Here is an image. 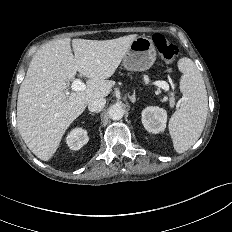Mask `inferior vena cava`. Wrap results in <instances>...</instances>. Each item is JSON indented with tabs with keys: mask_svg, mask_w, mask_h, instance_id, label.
<instances>
[{
	"mask_svg": "<svg viewBox=\"0 0 232 232\" xmlns=\"http://www.w3.org/2000/svg\"><path fill=\"white\" fill-rule=\"evenodd\" d=\"M105 104V98L97 97L90 100V102L88 103V109L91 112H100L104 108Z\"/></svg>",
	"mask_w": 232,
	"mask_h": 232,
	"instance_id": "1",
	"label": "inferior vena cava"
}]
</instances>
